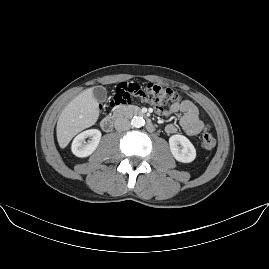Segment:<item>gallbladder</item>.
I'll list each match as a JSON object with an SVG mask.
<instances>
[{"mask_svg":"<svg viewBox=\"0 0 269 269\" xmlns=\"http://www.w3.org/2000/svg\"><path fill=\"white\" fill-rule=\"evenodd\" d=\"M94 96L99 102H105L107 98V91L104 87L98 86L93 89Z\"/></svg>","mask_w":269,"mask_h":269,"instance_id":"bac80fb5","label":"gallbladder"}]
</instances>
